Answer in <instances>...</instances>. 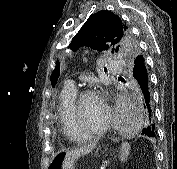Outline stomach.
Returning a JSON list of instances; mask_svg holds the SVG:
<instances>
[{"mask_svg":"<svg viewBox=\"0 0 177 169\" xmlns=\"http://www.w3.org/2000/svg\"><path fill=\"white\" fill-rule=\"evenodd\" d=\"M64 154L63 153H58L56 154L49 165L48 169H64L63 168V160H64Z\"/></svg>","mask_w":177,"mask_h":169,"instance_id":"stomach-1","label":"stomach"}]
</instances>
